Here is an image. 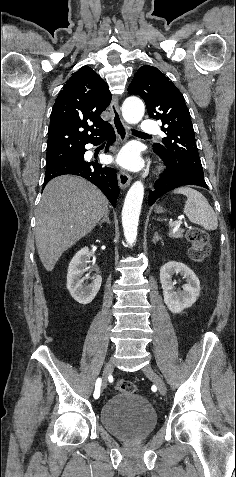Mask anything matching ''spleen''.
<instances>
[{"instance_id":"1","label":"spleen","mask_w":236,"mask_h":477,"mask_svg":"<svg viewBox=\"0 0 236 477\" xmlns=\"http://www.w3.org/2000/svg\"><path fill=\"white\" fill-rule=\"evenodd\" d=\"M174 193L183 194L187 197L183 212L191 222L209 231L217 229V216L207 199L200 192L190 187H181L174 190Z\"/></svg>"}]
</instances>
